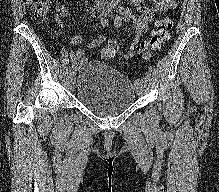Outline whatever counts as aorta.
Listing matches in <instances>:
<instances>
[{"label": "aorta", "mask_w": 219, "mask_h": 192, "mask_svg": "<svg viewBox=\"0 0 219 192\" xmlns=\"http://www.w3.org/2000/svg\"><path fill=\"white\" fill-rule=\"evenodd\" d=\"M113 3H118L120 0H111Z\"/></svg>", "instance_id": "aorta-1"}]
</instances>
